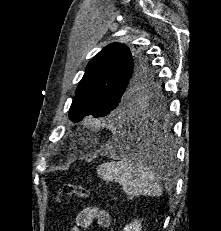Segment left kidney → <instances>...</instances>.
<instances>
[{"instance_id": "5707ae66", "label": "left kidney", "mask_w": 221, "mask_h": 231, "mask_svg": "<svg viewBox=\"0 0 221 231\" xmlns=\"http://www.w3.org/2000/svg\"><path fill=\"white\" fill-rule=\"evenodd\" d=\"M142 226L140 221H134L130 223L129 225H126L123 229V231H141Z\"/></svg>"}]
</instances>
